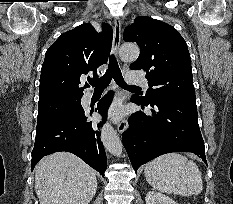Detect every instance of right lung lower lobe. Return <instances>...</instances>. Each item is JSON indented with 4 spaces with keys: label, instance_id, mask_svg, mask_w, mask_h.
<instances>
[{
    "label": "right lung lower lobe",
    "instance_id": "1",
    "mask_svg": "<svg viewBox=\"0 0 233 204\" xmlns=\"http://www.w3.org/2000/svg\"><path fill=\"white\" fill-rule=\"evenodd\" d=\"M112 101V93H108L97 104V111L103 120L97 127L87 121L93 110L84 112V109L74 114L64 116L53 123L36 130L35 145L32 151V170L40 159L54 152H71L102 176L106 170V154L100 140V126L107 118V110Z\"/></svg>",
    "mask_w": 233,
    "mask_h": 204
}]
</instances>
